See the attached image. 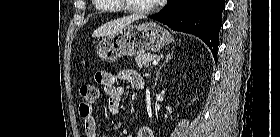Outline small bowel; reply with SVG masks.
Here are the masks:
<instances>
[{
    "label": "small bowel",
    "mask_w": 280,
    "mask_h": 137,
    "mask_svg": "<svg viewBox=\"0 0 280 137\" xmlns=\"http://www.w3.org/2000/svg\"><path fill=\"white\" fill-rule=\"evenodd\" d=\"M95 80L103 87L107 96L108 110L112 115H118L121 110V102L124 94L123 83H130L135 89L143 90L145 83L139 73L133 69L122 68L116 73L100 72ZM80 114L84 119L86 137H97V120L90 104L80 105ZM138 137H153L150 127H142Z\"/></svg>",
    "instance_id": "small-bowel-1"
}]
</instances>
